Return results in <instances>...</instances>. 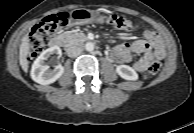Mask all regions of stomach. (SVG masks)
Instances as JSON below:
<instances>
[{
	"mask_svg": "<svg viewBox=\"0 0 194 133\" xmlns=\"http://www.w3.org/2000/svg\"><path fill=\"white\" fill-rule=\"evenodd\" d=\"M104 17L98 12L95 13L86 9H77L74 10L71 14V25H84L91 23L93 21L98 23L104 22Z\"/></svg>",
	"mask_w": 194,
	"mask_h": 133,
	"instance_id": "obj_1",
	"label": "stomach"
}]
</instances>
